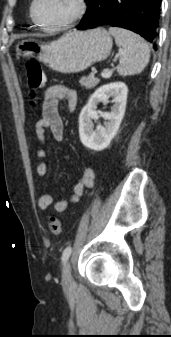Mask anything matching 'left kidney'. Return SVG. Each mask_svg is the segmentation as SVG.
Listing matches in <instances>:
<instances>
[{"instance_id": "obj_1", "label": "left kidney", "mask_w": 171, "mask_h": 337, "mask_svg": "<svg viewBox=\"0 0 171 337\" xmlns=\"http://www.w3.org/2000/svg\"><path fill=\"white\" fill-rule=\"evenodd\" d=\"M128 88L123 82H115L98 88L90 97L79 116V136L82 144L92 150L102 151L108 147L115 137L125 114ZM113 97L114 105L111 112L101 116L106 120L104 126H97L94 130L92 120H98L96 112L99 102H109Z\"/></svg>"}]
</instances>
